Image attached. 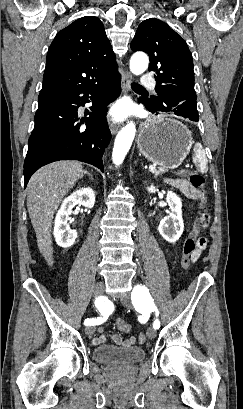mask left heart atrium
<instances>
[{
	"mask_svg": "<svg viewBox=\"0 0 243 409\" xmlns=\"http://www.w3.org/2000/svg\"><path fill=\"white\" fill-rule=\"evenodd\" d=\"M126 113H127V108L124 105H117L112 111V114L115 118H121L125 116Z\"/></svg>",
	"mask_w": 243,
	"mask_h": 409,
	"instance_id": "obj_1",
	"label": "left heart atrium"
}]
</instances>
